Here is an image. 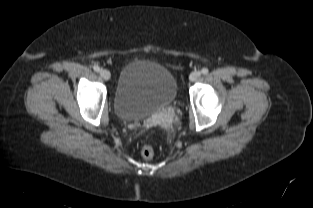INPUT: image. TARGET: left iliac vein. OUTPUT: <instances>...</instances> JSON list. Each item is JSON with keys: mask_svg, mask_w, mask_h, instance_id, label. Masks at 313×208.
Instances as JSON below:
<instances>
[{"mask_svg": "<svg viewBox=\"0 0 313 208\" xmlns=\"http://www.w3.org/2000/svg\"><path fill=\"white\" fill-rule=\"evenodd\" d=\"M201 76L200 71H194L190 74L189 79L190 81H196Z\"/></svg>", "mask_w": 313, "mask_h": 208, "instance_id": "4c4485c4", "label": "left iliac vein"}]
</instances>
